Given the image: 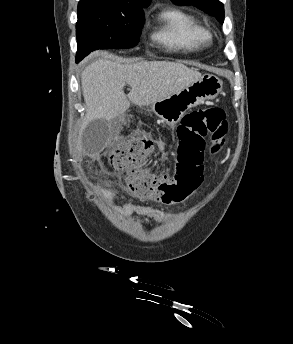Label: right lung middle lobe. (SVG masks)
Segmentation results:
<instances>
[{
    "instance_id": "1",
    "label": "right lung middle lobe",
    "mask_w": 293,
    "mask_h": 344,
    "mask_svg": "<svg viewBox=\"0 0 293 344\" xmlns=\"http://www.w3.org/2000/svg\"><path fill=\"white\" fill-rule=\"evenodd\" d=\"M77 13V63L91 51L132 48L139 41L144 24L140 9L83 1L78 4Z\"/></svg>"
}]
</instances>
